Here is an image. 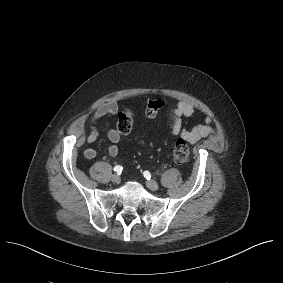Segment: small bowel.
Masks as SVG:
<instances>
[{
    "label": "small bowel",
    "mask_w": 283,
    "mask_h": 283,
    "mask_svg": "<svg viewBox=\"0 0 283 283\" xmlns=\"http://www.w3.org/2000/svg\"><path fill=\"white\" fill-rule=\"evenodd\" d=\"M194 106L187 101H180L171 110V117L173 120L170 133L173 136H178L184 141L194 144L201 138L208 137L215 133L213 126V119L210 116L205 118L204 124L196 125L193 128H187L184 124V119L190 118L194 113ZM118 112V107L114 103H106L99 107L97 111L90 118V131L87 135H83V122H75L71 125L70 130L74 135L79 137L78 145H83L85 142L94 143L98 136L99 131L97 128L98 122L109 116L114 117ZM107 138L110 141V145L107 148V152L110 156L114 157L119 154V143L121 141V135L116 129H110L107 132ZM84 155L87 159H93L96 157L97 152L94 148H87L84 151Z\"/></svg>",
    "instance_id": "1"
}]
</instances>
